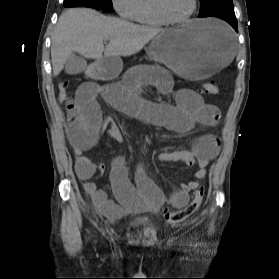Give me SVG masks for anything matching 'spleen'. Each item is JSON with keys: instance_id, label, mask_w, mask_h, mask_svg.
I'll use <instances>...</instances> for the list:
<instances>
[{"instance_id": "spleen-1", "label": "spleen", "mask_w": 279, "mask_h": 279, "mask_svg": "<svg viewBox=\"0 0 279 279\" xmlns=\"http://www.w3.org/2000/svg\"><path fill=\"white\" fill-rule=\"evenodd\" d=\"M219 28H220L223 32H225V33L228 32V30H227L226 28H224V27L219 26ZM232 38H233V34H232Z\"/></svg>"}]
</instances>
